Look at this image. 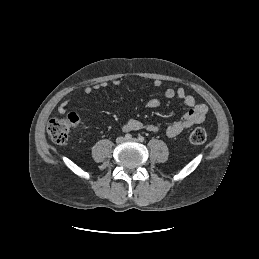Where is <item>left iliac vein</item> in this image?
<instances>
[{"instance_id": "left-iliac-vein-1", "label": "left iliac vein", "mask_w": 259, "mask_h": 259, "mask_svg": "<svg viewBox=\"0 0 259 259\" xmlns=\"http://www.w3.org/2000/svg\"><path fill=\"white\" fill-rule=\"evenodd\" d=\"M128 141H132V142H136V141H138L136 138H131V139H129Z\"/></svg>"}]
</instances>
